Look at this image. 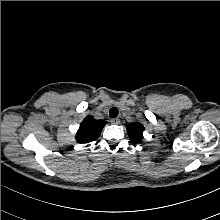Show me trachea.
I'll return each instance as SVG.
<instances>
[{
  "mask_svg": "<svg viewBox=\"0 0 220 220\" xmlns=\"http://www.w3.org/2000/svg\"><path fill=\"white\" fill-rule=\"evenodd\" d=\"M118 114H119V111L115 107L111 108L110 111H109V116L111 118H116L118 116Z\"/></svg>",
  "mask_w": 220,
  "mask_h": 220,
  "instance_id": "obj_1",
  "label": "trachea"
}]
</instances>
